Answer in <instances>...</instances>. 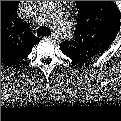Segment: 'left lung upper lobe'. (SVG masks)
<instances>
[{
  "instance_id": "obj_1",
  "label": "left lung upper lobe",
  "mask_w": 121,
  "mask_h": 121,
  "mask_svg": "<svg viewBox=\"0 0 121 121\" xmlns=\"http://www.w3.org/2000/svg\"><path fill=\"white\" fill-rule=\"evenodd\" d=\"M77 9L75 39L62 42L61 50L72 58L103 52L115 40L120 27L116 5L110 1H77Z\"/></svg>"
}]
</instances>
